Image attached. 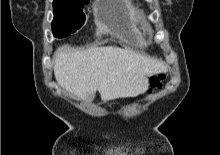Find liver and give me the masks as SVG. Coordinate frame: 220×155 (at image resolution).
<instances>
[{
    "instance_id": "6515ba94",
    "label": "liver",
    "mask_w": 220,
    "mask_h": 155,
    "mask_svg": "<svg viewBox=\"0 0 220 155\" xmlns=\"http://www.w3.org/2000/svg\"><path fill=\"white\" fill-rule=\"evenodd\" d=\"M58 84L78 99L92 100L99 91L103 102L136 97L149 88L148 77L167 71L158 60L116 46L71 50L54 54Z\"/></svg>"
}]
</instances>
